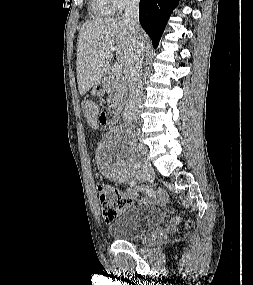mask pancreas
<instances>
[{"mask_svg":"<svg viewBox=\"0 0 253 285\" xmlns=\"http://www.w3.org/2000/svg\"><path fill=\"white\" fill-rule=\"evenodd\" d=\"M105 90L109 97L110 108L120 112L124 105L127 87L124 80L114 81L110 77L105 80Z\"/></svg>","mask_w":253,"mask_h":285,"instance_id":"obj_1","label":"pancreas"}]
</instances>
